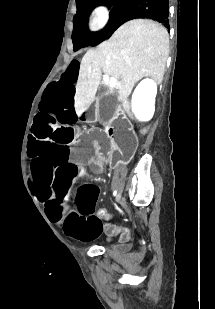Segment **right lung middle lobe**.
<instances>
[{
	"label": "right lung middle lobe",
	"instance_id": "dd1d6c3e",
	"mask_svg": "<svg viewBox=\"0 0 215 309\" xmlns=\"http://www.w3.org/2000/svg\"><path fill=\"white\" fill-rule=\"evenodd\" d=\"M131 2L132 0H77V14L72 34L74 51L86 46H96L106 40L117 29L121 14ZM97 5L111 8L110 19L103 30L90 32L87 27L88 16Z\"/></svg>",
	"mask_w": 215,
	"mask_h": 309
}]
</instances>
